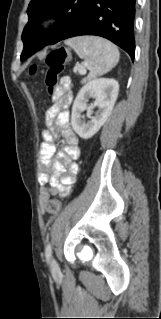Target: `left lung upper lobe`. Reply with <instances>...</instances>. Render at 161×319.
<instances>
[{
	"label": "left lung upper lobe",
	"instance_id": "1",
	"mask_svg": "<svg viewBox=\"0 0 161 319\" xmlns=\"http://www.w3.org/2000/svg\"><path fill=\"white\" fill-rule=\"evenodd\" d=\"M92 0H31L28 6L29 21L22 33L24 49L21 56L37 48L61 41L84 14ZM54 16L58 21L51 29L40 30V20ZM34 44L33 48H31Z\"/></svg>",
	"mask_w": 161,
	"mask_h": 319
}]
</instances>
